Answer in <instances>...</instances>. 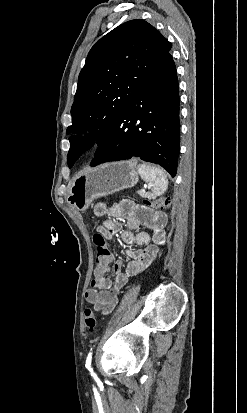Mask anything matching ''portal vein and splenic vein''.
Here are the masks:
<instances>
[{"instance_id": "18ae733b", "label": "portal vein and splenic vein", "mask_w": 247, "mask_h": 413, "mask_svg": "<svg viewBox=\"0 0 247 413\" xmlns=\"http://www.w3.org/2000/svg\"><path fill=\"white\" fill-rule=\"evenodd\" d=\"M141 190H143V192H145V188H141Z\"/></svg>"}]
</instances>
